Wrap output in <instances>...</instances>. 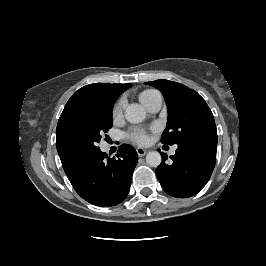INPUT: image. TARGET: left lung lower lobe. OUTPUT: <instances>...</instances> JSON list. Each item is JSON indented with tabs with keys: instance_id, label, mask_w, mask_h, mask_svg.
<instances>
[{
	"instance_id": "1",
	"label": "left lung lower lobe",
	"mask_w": 266,
	"mask_h": 266,
	"mask_svg": "<svg viewBox=\"0 0 266 266\" xmlns=\"http://www.w3.org/2000/svg\"><path fill=\"white\" fill-rule=\"evenodd\" d=\"M216 150L217 141L203 140L179 144L170 163L162 156L156 175L164 191L177 198L197 194L211 177Z\"/></svg>"
}]
</instances>
